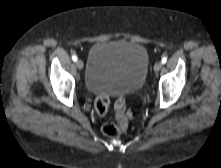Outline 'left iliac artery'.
<instances>
[{"label": "left iliac artery", "instance_id": "44dca946", "mask_svg": "<svg viewBox=\"0 0 221 168\" xmlns=\"http://www.w3.org/2000/svg\"><path fill=\"white\" fill-rule=\"evenodd\" d=\"M166 62H167V58H166V57H163L162 60H161V63H162V64H165Z\"/></svg>", "mask_w": 221, "mask_h": 168}]
</instances>
